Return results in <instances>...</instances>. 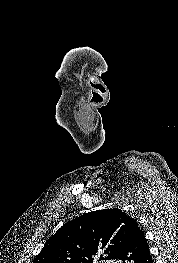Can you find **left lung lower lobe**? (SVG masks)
Instances as JSON below:
<instances>
[{"label":"left lung lower lobe","mask_w":178,"mask_h":263,"mask_svg":"<svg viewBox=\"0 0 178 263\" xmlns=\"http://www.w3.org/2000/svg\"><path fill=\"white\" fill-rule=\"evenodd\" d=\"M119 263H154L143 231L133 220L114 258Z\"/></svg>","instance_id":"left-lung-lower-lobe-1"}]
</instances>
